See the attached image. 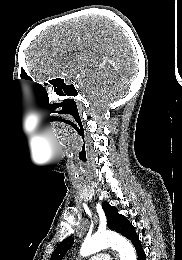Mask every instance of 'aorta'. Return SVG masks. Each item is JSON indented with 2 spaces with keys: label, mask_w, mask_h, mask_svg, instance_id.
<instances>
[{
  "label": "aorta",
  "mask_w": 182,
  "mask_h": 260,
  "mask_svg": "<svg viewBox=\"0 0 182 260\" xmlns=\"http://www.w3.org/2000/svg\"><path fill=\"white\" fill-rule=\"evenodd\" d=\"M111 247L117 250L120 260H137L132 244L123 236L112 232L96 233L82 243L80 255L85 257Z\"/></svg>",
  "instance_id": "762f6f07"
}]
</instances>
